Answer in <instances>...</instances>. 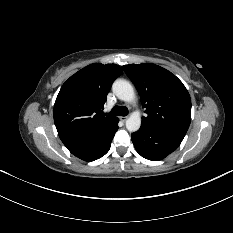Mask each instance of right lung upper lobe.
<instances>
[{
    "label": "right lung upper lobe",
    "instance_id": "cb5924a9",
    "mask_svg": "<svg viewBox=\"0 0 233 233\" xmlns=\"http://www.w3.org/2000/svg\"><path fill=\"white\" fill-rule=\"evenodd\" d=\"M122 73L116 64L88 65L61 87L54 104V122L62 142L88 134L116 117L102 109L113 81Z\"/></svg>",
    "mask_w": 233,
    "mask_h": 233
}]
</instances>
